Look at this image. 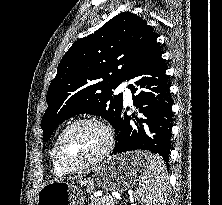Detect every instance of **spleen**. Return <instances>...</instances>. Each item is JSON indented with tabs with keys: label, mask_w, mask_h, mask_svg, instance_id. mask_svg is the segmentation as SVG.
<instances>
[{
	"label": "spleen",
	"mask_w": 222,
	"mask_h": 205,
	"mask_svg": "<svg viewBox=\"0 0 222 205\" xmlns=\"http://www.w3.org/2000/svg\"><path fill=\"white\" fill-rule=\"evenodd\" d=\"M143 174L136 193L142 205H164L167 186V169L158 156L144 154Z\"/></svg>",
	"instance_id": "spleen-1"
}]
</instances>
